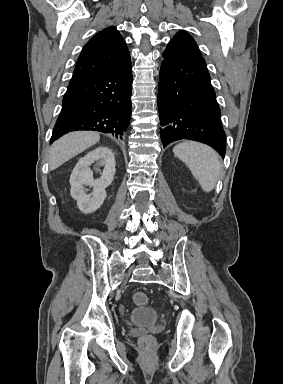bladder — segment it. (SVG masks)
<instances>
[{
	"mask_svg": "<svg viewBox=\"0 0 283 384\" xmlns=\"http://www.w3.org/2000/svg\"><path fill=\"white\" fill-rule=\"evenodd\" d=\"M157 321L155 310L146 306L136 307L129 314V322L135 325L151 324Z\"/></svg>",
	"mask_w": 283,
	"mask_h": 384,
	"instance_id": "obj_1",
	"label": "bladder"
}]
</instances>
